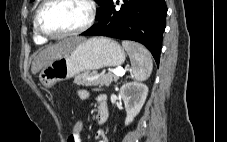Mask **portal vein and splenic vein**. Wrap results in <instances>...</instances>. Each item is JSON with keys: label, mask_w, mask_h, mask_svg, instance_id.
I'll use <instances>...</instances> for the list:
<instances>
[{"label": "portal vein and splenic vein", "mask_w": 227, "mask_h": 142, "mask_svg": "<svg viewBox=\"0 0 227 142\" xmlns=\"http://www.w3.org/2000/svg\"><path fill=\"white\" fill-rule=\"evenodd\" d=\"M124 71L123 70H115V71H113V74L115 75V76H117V77H119V76H123L124 75ZM112 74V73H111Z\"/></svg>", "instance_id": "obj_1"}]
</instances>
